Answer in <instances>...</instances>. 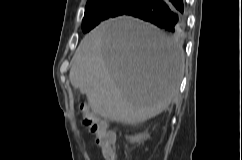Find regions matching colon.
Instances as JSON below:
<instances>
[{"instance_id":"1","label":"colon","mask_w":242,"mask_h":160,"mask_svg":"<svg viewBox=\"0 0 242 160\" xmlns=\"http://www.w3.org/2000/svg\"><path fill=\"white\" fill-rule=\"evenodd\" d=\"M83 125L95 136L96 145L102 151L106 160H114L115 152L113 148L115 136L108 130L107 124L100 119L86 106L81 107Z\"/></svg>"}]
</instances>
